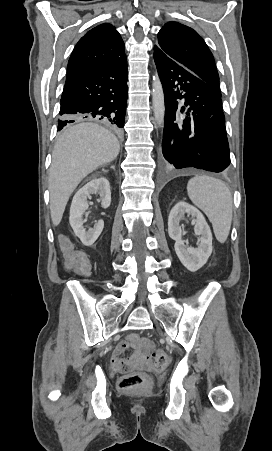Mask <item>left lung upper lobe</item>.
<instances>
[{
	"mask_svg": "<svg viewBox=\"0 0 272 451\" xmlns=\"http://www.w3.org/2000/svg\"><path fill=\"white\" fill-rule=\"evenodd\" d=\"M158 46L221 95L213 55L195 30L178 22H168L158 33Z\"/></svg>",
	"mask_w": 272,
	"mask_h": 451,
	"instance_id": "obj_1",
	"label": "left lung upper lobe"
}]
</instances>
